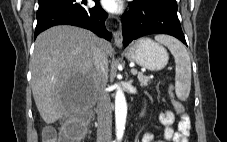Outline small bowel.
I'll return each instance as SVG.
<instances>
[{
    "mask_svg": "<svg viewBox=\"0 0 227 142\" xmlns=\"http://www.w3.org/2000/svg\"><path fill=\"white\" fill-rule=\"evenodd\" d=\"M179 115L180 121L177 131L172 127L175 121V115L172 111H166L158 116V120L165 126V130L163 135L164 140H158L156 142H188L191 128L190 119L185 112ZM153 139L154 137L151 133H145L141 142H153Z\"/></svg>",
    "mask_w": 227,
    "mask_h": 142,
    "instance_id": "small-bowel-1",
    "label": "small bowel"
}]
</instances>
